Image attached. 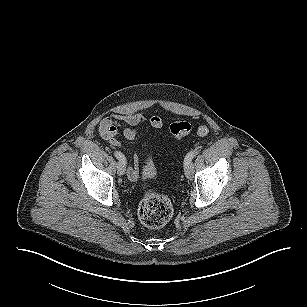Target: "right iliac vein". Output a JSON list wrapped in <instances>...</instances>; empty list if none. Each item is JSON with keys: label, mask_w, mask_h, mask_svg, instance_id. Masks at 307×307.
Listing matches in <instances>:
<instances>
[{"label": "right iliac vein", "mask_w": 307, "mask_h": 307, "mask_svg": "<svg viewBox=\"0 0 307 307\" xmlns=\"http://www.w3.org/2000/svg\"><path fill=\"white\" fill-rule=\"evenodd\" d=\"M116 167H117V173L119 176H122L125 174V165L122 162H118Z\"/></svg>", "instance_id": "right-iliac-vein-1"}]
</instances>
